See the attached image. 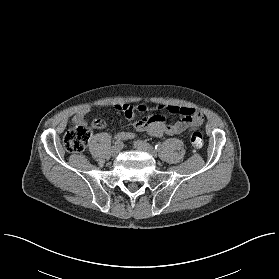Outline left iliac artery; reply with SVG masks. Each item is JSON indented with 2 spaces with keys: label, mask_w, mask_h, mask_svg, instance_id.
Returning a JSON list of instances; mask_svg holds the SVG:
<instances>
[{
  "label": "left iliac artery",
  "mask_w": 279,
  "mask_h": 279,
  "mask_svg": "<svg viewBox=\"0 0 279 279\" xmlns=\"http://www.w3.org/2000/svg\"><path fill=\"white\" fill-rule=\"evenodd\" d=\"M162 149H163V145L162 144L158 143V144L155 145V150L156 151H160Z\"/></svg>",
  "instance_id": "44dca946"
}]
</instances>
